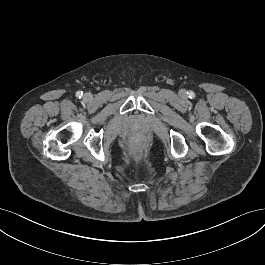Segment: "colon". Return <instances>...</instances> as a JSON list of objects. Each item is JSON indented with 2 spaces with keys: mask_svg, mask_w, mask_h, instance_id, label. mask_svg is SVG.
I'll return each instance as SVG.
<instances>
[{
  "mask_svg": "<svg viewBox=\"0 0 265 265\" xmlns=\"http://www.w3.org/2000/svg\"><path fill=\"white\" fill-rule=\"evenodd\" d=\"M133 147H134V149H136L137 152H140L141 151V142L140 141H134Z\"/></svg>",
  "mask_w": 265,
  "mask_h": 265,
  "instance_id": "1",
  "label": "colon"
}]
</instances>
